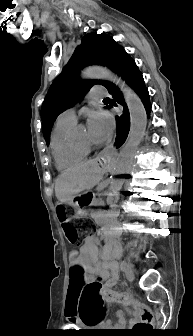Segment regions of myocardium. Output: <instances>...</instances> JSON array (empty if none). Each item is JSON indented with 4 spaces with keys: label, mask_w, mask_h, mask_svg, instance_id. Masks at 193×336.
<instances>
[{
    "label": "myocardium",
    "mask_w": 193,
    "mask_h": 336,
    "mask_svg": "<svg viewBox=\"0 0 193 336\" xmlns=\"http://www.w3.org/2000/svg\"><path fill=\"white\" fill-rule=\"evenodd\" d=\"M81 146L87 148L88 150L92 149L95 147L94 143L92 142H80V141H77Z\"/></svg>",
    "instance_id": "obj_1"
}]
</instances>
